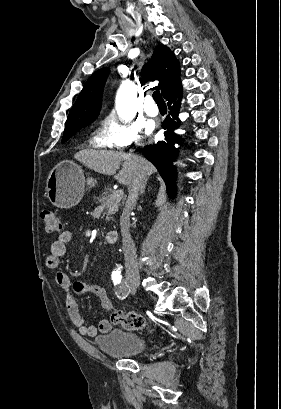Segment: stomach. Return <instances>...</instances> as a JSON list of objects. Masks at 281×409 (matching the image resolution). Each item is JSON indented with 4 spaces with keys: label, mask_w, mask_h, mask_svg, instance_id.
<instances>
[{
    "label": "stomach",
    "mask_w": 281,
    "mask_h": 409,
    "mask_svg": "<svg viewBox=\"0 0 281 409\" xmlns=\"http://www.w3.org/2000/svg\"><path fill=\"white\" fill-rule=\"evenodd\" d=\"M94 178H85L84 170L73 160H61L51 172L46 182L47 196L54 207L71 209L80 202L86 186H95Z\"/></svg>",
    "instance_id": "1"
}]
</instances>
